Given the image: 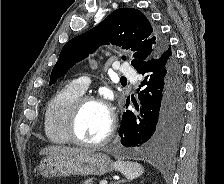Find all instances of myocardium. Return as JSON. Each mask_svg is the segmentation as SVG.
Here are the masks:
<instances>
[{
  "label": "myocardium",
  "instance_id": "myocardium-1",
  "mask_svg": "<svg viewBox=\"0 0 224 184\" xmlns=\"http://www.w3.org/2000/svg\"><path fill=\"white\" fill-rule=\"evenodd\" d=\"M89 103L104 106L109 114V128L107 134L99 141L88 142L82 140L77 133V124L83 108ZM117 126V117L112 105L104 98L94 95H81L73 103L67 118L66 132L71 143L87 148H98L107 144L114 136Z\"/></svg>",
  "mask_w": 224,
  "mask_h": 184
}]
</instances>
